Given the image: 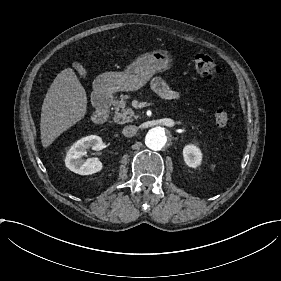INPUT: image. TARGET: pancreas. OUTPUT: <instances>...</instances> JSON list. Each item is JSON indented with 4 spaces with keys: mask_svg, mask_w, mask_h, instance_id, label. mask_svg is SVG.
Instances as JSON below:
<instances>
[{
    "mask_svg": "<svg viewBox=\"0 0 281 281\" xmlns=\"http://www.w3.org/2000/svg\"><path fill=\"white\" fill-rule=\"evenodd\" d=\"M126 99L128 96H122L120 100H114L115 117L114 121L118 124L133 122L137 118L132 108H126Z\"/></svg>",
    "mask_w": 281,
    "mask_h": 281,
    "instance_id": "cf45deb5",
    "label": "pancreas"
}]
</instances>
